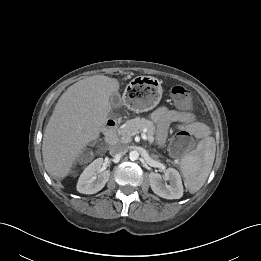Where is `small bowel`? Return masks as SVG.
Instances as JSON below:
<instances>
[{
	"instance_id": "small-bowel-1",
	"label": "small bowel",
	"mask_w": 261,
	"mask_h": 261,
	"mask_svg": "<svg viewBox=\"0 0 261 261\" xmlns=\"http://www.w3.org/2000/svg\"><path fill=\"white\" fill-rule=\"evenodd\" d=\"M152 119L157 125V141L164 144L167 140L169 127L176 123L181 129L189 130L196 137H206L209 130L206 125L196 120L193 113L160 107L152 114Z\"/></svg>"
}]
</instances>
